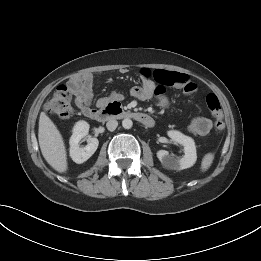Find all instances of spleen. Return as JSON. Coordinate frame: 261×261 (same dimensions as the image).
Segmentation results:
<instances>
[{"mask_svg":"<svg viewBox=\"0 0 261 261\" xmlns=\"http://www.w3.org/2000/svg\"><path fill=\"white\" fill-rule=\"evenodd\" d=\"M213 160H214V154L213 153H207L203 159H202V162H201V171L202 172H205L207 171L210 166L212 165L213 163Z\"/></svg>","mask_w":261,"mask_h":261,"instance_id":"obj_1","label":"spleen"}]
</instances>
